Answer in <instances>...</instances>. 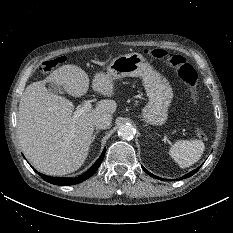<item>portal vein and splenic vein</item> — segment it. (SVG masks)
I'll return each mask as SVG.
<instances>
[{"label":"portal vein and splenic vein","instance_id":"obj_1","mask_svg":"<svg viewBox=\"0 0 233 233\" xmlns=\"http://www.w3.org/2000/svg\"><path fill=\"white\" fill-rule=\"evenodd\" d=\"M92 108V104L87 101L83 104V107L77 109L75 112H74V116L75 117H78V116H81L82 114H84L85 112H88L90 111Z\"/></svg>","mask_w":233,"mask_h":233}]
</instances>
